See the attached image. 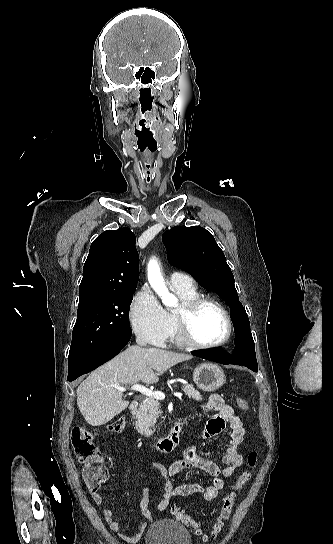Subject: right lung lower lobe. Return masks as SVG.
<instances>
[{"label": "right lung lower lobe", "instance_id": "right-lung-lower-lobe-1", "mask_svg": "<svg viewBox=\"0 0 333 544\" xmlns=\"http://www.w3.org/2000/svg\"><path fill=\"white\" fill-rule=\"evenodd\" d=\"M130 332L111 336L90 349L84 356L68 362V381H73L116 356L129 342Z\"/></svg>", "mask_w": 333, "mask_h": 544}]
</instances>
